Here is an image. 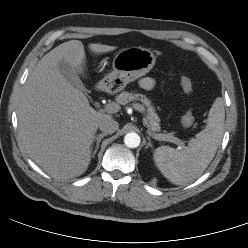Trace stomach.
Here are the masks:
<instances>
[{
    "instance_id": "1",
    "label": "stomach",
    "mask_w": 248,
    "mask_h": 248,
    "mask_svg": "<svg viewBox=\"0 0 248 248\" xmlns=\"http://www.w3.org/2000/svg\"><path fill=\"white\" fill-rule=\"evenodd\" d=\"M156 57L151 50L130 47L119 51L113 59V71L101 81L102 87L109 92H119L126 85L144 76L155 65Z\"/></svg>"
}]
</instances>
